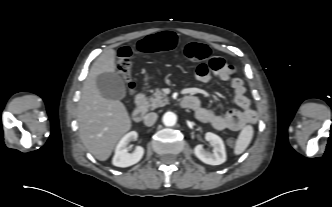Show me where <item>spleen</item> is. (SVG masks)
Masks as SVG:
<instances>
[{"label":"spleen","instance_id":"1","mask_svg":"<svg viewBox=\"0 0 332 207\" xmlns=\"http://www.w3.org/2000/svg\"><path fill=\"white\" fill-rule=\"evenodd\" d=\"M253 127L251 125L245 126L240 132L238 139L236 141V145L234 148V154L239 155L245 151V149L249 146L252 138H253Z\"/></svg>","mask_w":332,"mask_h":207}]
</instances>
